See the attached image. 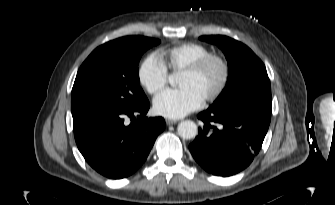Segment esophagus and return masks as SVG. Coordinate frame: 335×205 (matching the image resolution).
Segmentation results:
<instances>
[{"label":"esophagus","mask_w":335,"mask_h":205,"mask_svg":"<svg viewBox=\"0 0 335 205\" xmlns=\"http://www.w3.org/2000/svg\"><path fill=\"white\" fill-rule=\"evenodd\" d=\"M175 123H177V120L166 119V124H167V125H173V124H175Z\"/></svg>","instance_id":"esophagus-1"}]
</instances>
